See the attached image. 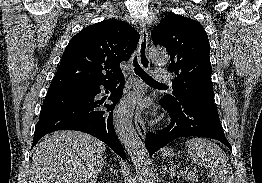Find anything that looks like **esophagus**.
Segmentation results:
<instances>
[{
    "label": "esophagus",
    "mask_w": 262,
    "mask_h": 183,
    "mask_svg": "<svg viewBox=\"0 0 262 183\" xmlns=\"http://www.w3.org/2000/svg\"><path fill=\"white\" fill-rule=\"evenodd\" d=\"M148 43L149 41H148L147 29L145 25H140V42H139V48H138V60H139V64L141 65V67L146 71L150 69V59L148 57ZM133 87L135 90H138L140 93L139 100H138V106L135 112L134 121H135L136 129L139 135L142 138H145L147 131H146V127L143 122V119L141 117V111H140L141 110V97L144 93V89L142 85L140 84L139 79L136 77H134Z\"/></svg>",
    "instance_id": "34e87169"
}]
</instances>
